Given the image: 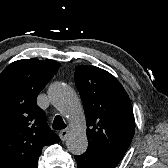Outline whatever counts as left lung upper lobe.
Here are the masks:
<instances>
[{"instance_id": "left-lung-upper-lobe-1", "label": "left lung upper lobe", "mask_w": 168, "mask_h": 168, "mask_svg": "<svg viewBox=\"0 0 168 168\" xmlns=\"http://www.w3.org/2000/svg\"><path fill=\"white\" fill-rule=\"evenodd\" d=\"M75 70V84L86 116L88 148L120 161L135 132L129 96L103 69L86 65Z\"/></svg>"}]
</instances>
